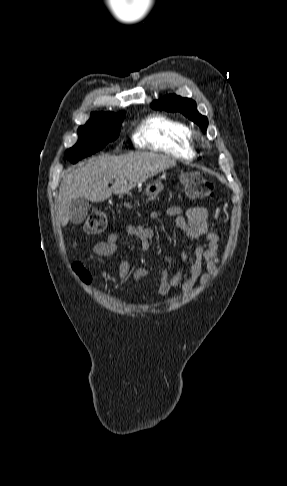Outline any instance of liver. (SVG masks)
<instances>
[{"label":"liver","mask_w":287,"mask_h":486,"mask_svg":"<svg viewBox=\"0 0 287 486\" xmlns=\"http://www.w3.org/2000/svg\"><path fill=\"white\" fill-rule=\"evenodd\" d=\"M176 161L166 155L137 152L121 156H99L65 171L58 196V213L62 226L70 220L73 199L104 201L113 194H124L136 185L173 167ZM115 179L109 188L108 184Z\"/></svg>","instance_id":"obj_1"}]
</instances>
